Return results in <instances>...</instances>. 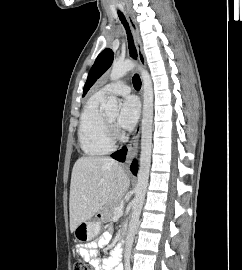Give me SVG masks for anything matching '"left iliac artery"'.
I'll use <instances>...</instances> for the list:
<instances>
[{
    "instance_id": "44dca946",
    "label": "left iliac artery",
    "mask_w": 242,
    "mask_h": 270,
    "mask_svg": "<svg viewBox=\"0 0 242 270\" xmlns=\"http://www.w3.org/2000/svg\"><path fill=\"white\" fill-rule=\"evenodd\" d=\"M125 270H131V269H130V266H127Z\"/></svg>"
}]
</instances>
